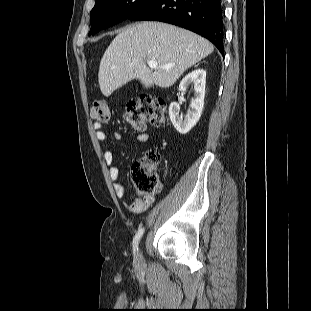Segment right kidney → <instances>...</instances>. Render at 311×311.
Masks as SVG:
<instances>
[{
  "mask_svg": "<svg viewBox=\"0 0 311 311\" xmlns=\"http://www.w3.org/2000/svg\"><path fill=\"white\" fill-rule=\"evenodd\" d=\"M194 85L195 98L192 99L187 115L180 114V106L172 102L169 107L170 120L180 134L188 133L199 121L204 107L206 71L196 69L186 75L179 85V91L185 92L188 85Z\"/></svg>",
  "mask_w": 311,
  "mask_h": 311,
  "instance_id": "ca27d5eb",
  "label": "right kidney"
}]
</instances>
